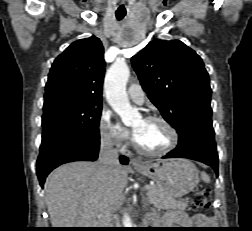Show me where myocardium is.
Masks as SVG:
<instances>
[{
  "label": "myocardium",
  "instance_id": "1",
  "mask_svg": "<svg viewBox=\"0 0 252 231\" xmlns=\"http://www.w3.org/2000/svg\"><path fill=\"white\" fill-rule=\"evenodd\" d=\"M145 120H149V121H158L160 123H162L169 131L170 136H171V141L169 143V145L159 151H151V150H147L145 148H143L135 139V137H132V143L133 146L135 148V150L145 156H163L166 155L168 153H170L172 150H174L176 148V146L178 145L179 142V134L176 130V128L172 125V123L170 121H168L166 118L159 116V115H148Z\"/></svg>",
  "mask_w": 252,
  "mask_h": 231
}]
</instances>
